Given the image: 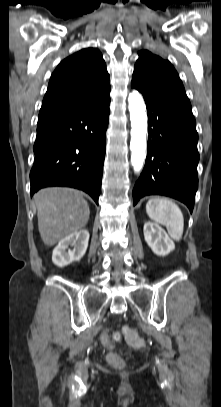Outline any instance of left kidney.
Listing matches in <instances>:
<instances>
[{
    "label": "left kidney",
    "mask_w": 221,
    "mask_h": 407,
    "mask_svg": "<svg viewBox=\"0 0 221 407\" xmlns=\"http://www.w3.org/2000/svg\"><path fill=\"white\" fill-rule=\"evenodd\" d=\"M144 237L148 246L158 256H166L175 249L173 240L158 224L145 222Z\"/></svg>",
    "instance_id": "obj_1"
}]
</instances>
